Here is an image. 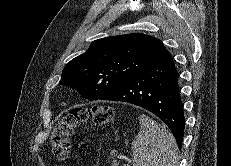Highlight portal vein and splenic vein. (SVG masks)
Instances as JSON below:
<instances>
[{
    "label": "portal vein and splenic vein",
    "mask_w": 231,
    "mask_h": 166,
    "mask_svg": "<svg viewBox=\"0 0 231 166\" xmlns=\"http://www.w3.org/2000/svg\"><path fill=\"white\" fill-rule=\"evenodd\" d=\"M124 166H129L128 164H125Z\"/></svg>",
    "instance_id": "1"
}]
</instances>
